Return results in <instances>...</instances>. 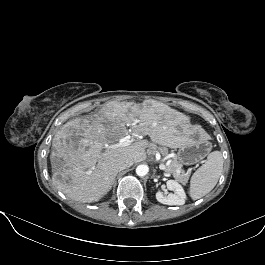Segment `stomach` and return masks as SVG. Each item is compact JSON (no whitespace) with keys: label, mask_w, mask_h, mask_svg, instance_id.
Segmentation results:
<instances>
[{"label":"stomach","mask_w":265,"mask_h":265,"mask_svg":"<svg viewBox=\"0 0 265 265\" xmlns=\"http://www.w3.org/2000/svg\"><path fill=\"white\" fill-rule=\"evenodd\" d=\"M210 144L207 141L192 139L189 136L188 143L180 147L177 157L185 165H192L203 159L208 153Z\"/></svg>","instance_id":"obj_1"}]
</instances>
